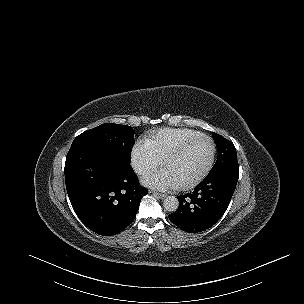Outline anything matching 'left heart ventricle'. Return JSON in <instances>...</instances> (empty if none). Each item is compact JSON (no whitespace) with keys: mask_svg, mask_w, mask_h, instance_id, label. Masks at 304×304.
Masks as SVG:
<instances>
[{"mask_svg":"<svg viewBox=\"0 0 304 304\" xmlns=\"http://www.w3.org/2000/svg\"><path fill=\"white\" fill-rule=\"evenodd\" d=\"M211 152L207 140L201 141L170 162L168 174L178 183L189 182L205 167Z\"/></svg>","mask_w":304,"mask_h":304,"instance_id":"left-heart-ventricle-1","label":"left heart ventricle"}]
</instances>
